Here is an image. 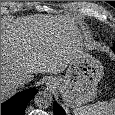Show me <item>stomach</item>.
<instances>
[{
	"label": "stomach",
	"mask_w": 115,
	"mask_h": 115,
	"mask_svg": "<svg viewBox=\"0 0 115 115\" xmlns=\"http://www.w3.org/2000/svg\"><path fill=\"white\" fill-rule=\"evenodd\" d=\"M103 75L102 63L88 52L86 46H82L70 62L65 76L56 78L55 86L64 103L77 108L96 97L97 86Z\"/></svg>",
	"instance_id": "1"
}]
</instances>
